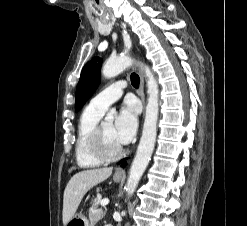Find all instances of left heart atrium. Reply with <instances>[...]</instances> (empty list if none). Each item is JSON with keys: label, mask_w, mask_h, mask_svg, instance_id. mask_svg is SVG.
Returning <instances> with one entry per match:
<instances>
[{"label": "left heart atrium", "mask_w": 247, "mask_h": 226, "mask_svg": "<svg viewBox=\"0 0 247 226\" xmlns=\"http://www.w3.org/2000/svg\"><path fill=\"white\" fill-rule=\"evenodd\" d=\"M138 107L132 101H126L118 114L114 124V136L117 142L122 146L128 144L136 134Z\"/></svg>", "instance_id": "left-heart-atrium-1"}]
</instances>
